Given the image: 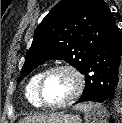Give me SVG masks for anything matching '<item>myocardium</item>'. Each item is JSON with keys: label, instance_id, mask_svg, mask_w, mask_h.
Wrapping results in <instances>:
<instances>
[{"label": "myocardium", "instance_id": "myocardium-1", "mask_svg": "<svg viewBox=\"0 0 122 123\" xmlns=\"http://www.w3.org/2000/svg\"><path fill=\"white\" fill-rule=\"evenodd\" d=\"M60 70L67 71L74 77L75 88H74L72 94L69 97H67L65 100L58 102V103H49L44 99V96H43L44 82L49 74H51L52 72H55V71H60ZM84 86H85V78L79 69H77L75 66L70 65V64H59V65L50 67L43 72V74L41 75V77L39 79L38 85H37V97H38L40 103L45 107L61 108V107L67 106L68 104H70L74 100H76L83 92Z\"/></svg>", "mask_w": 122, "mask_h": 123}]
</instances>
